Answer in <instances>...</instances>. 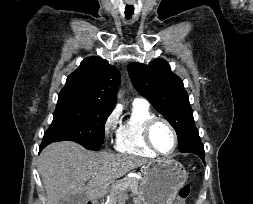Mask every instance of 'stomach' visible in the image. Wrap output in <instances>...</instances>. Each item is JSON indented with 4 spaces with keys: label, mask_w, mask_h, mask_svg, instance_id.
Listing matches in <instances>:
<instances>
[{
    "label": "stomach",
    "mask_w": 253,
    "mask_h": 204,
    "mask_svg": "<svg viewBox=\"0 0 253 204\" xmlns=\"http://www.w3.org/2000/svg\"><path fill=\"white\" fill-rule=\"evenodd\" d=\"M188 174L183 165L173 159H160L143 167L138 188L141 204H173Z\"/></svg>",
    "instance_id": "stomach-1"
}]
</instances>
